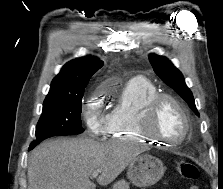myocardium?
<instances>
[{
    "instance_id": "myocardium-1",
    "label": "myocardium",
    "mask_w": 223,
    "mask_h": 189,
    "mask_svg": "<svg viewBox=\"0 0 223 189\" xmlns=\"http://www.w3.org/2000/svg\"><path fill=\"white\" fill-rule=\"evenodd\" d=\"M164 101H170L173 103L181 112L185 127L183 136L176 141H169L160 135H158L154 130V123L156 114L160 105ZM138 128L140 132L149 140L157 141L167 145L168 147H177L182 144L190 135L192 129L191 118L188 110L182 104V102L174 97L173 95L167 93H157L152 98H150L143 106L141 112L138 115Z\"/></svg>"
}]
</instances>
